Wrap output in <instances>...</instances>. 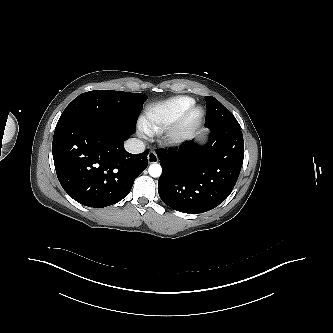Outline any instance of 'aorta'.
<instances>
[{
  "mask_svg": "<svg viewBox=\"0 0 333 333\" xmlns=\"http://www.w3.org/2000/svg\"><path fill=\"white\" fill-rule=\"evenodd\" d=\"M149 175L151 177H159L162 173V168L159 164H152L148 168Z\"/></svg>",
  "mask_w": 333,
  "mask_h": 333,
  "instance_id": "aorta-1",
  "label": "aorta"
}]
</instances>
